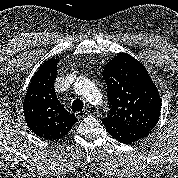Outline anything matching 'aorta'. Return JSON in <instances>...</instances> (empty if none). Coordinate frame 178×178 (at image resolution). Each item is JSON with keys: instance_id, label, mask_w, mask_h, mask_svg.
Returning a JSON list of instances; mask_svg holds the SVG:
<instances>
[{"instance_id": "aorta-1", "label": "aorta", "mask_w": 178, "mask_h": 178, "mask_svg": "<svg viewBox=\"0 0 178 178\" xmlns=\"http://www.w3.org/2000/svg\"><path fill=\"white\" fill-rule=\"evenodd\" d=\"M74 89L77 93L84 96L91 103L99 104L101 102V93L95 84L87 78H78L74 83Z\"/></svg>"}]
</instances>
